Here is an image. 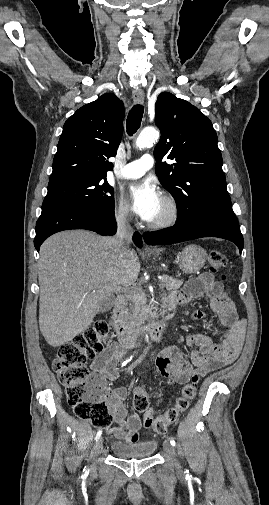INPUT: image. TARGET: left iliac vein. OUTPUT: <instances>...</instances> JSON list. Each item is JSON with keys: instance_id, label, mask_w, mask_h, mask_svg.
I'll return each instance as SVG.
<instances>
[{"instance_id": "obj_1", "label": "left iliac vein", "mask_w": 269, "mask_h": 505, "mask_svg": "<svg viewBox=\"0 0 269 505\" xmlns=\"http://www.w3.org/2000/svg\"><path fill=\"white\" fill-rule=\"evenodd\" d=\"M164 449L165 451L172 457L175 458V466H176V469L177 470H180V464L179 462L177 461L176 459V453H175V449L173 448L172 445L168 444V443H164Z\"/></svg>"}]
</instances>
